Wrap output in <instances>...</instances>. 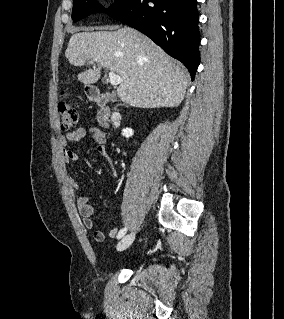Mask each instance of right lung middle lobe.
Wrapping results in <instances>:
<instances>
[{"label":"right lung middle lobe","instance_id":"1","mask_svg":"<svg viewBox=\"0 0 284 319\" xmlns=\"http://www.w3.org/2000/svg\"><path fill=\"white\" fill-rule=\"evenodd\" d=\"M131 1L132 0H116V2L106 10L98 4L96 0H73L72 19L76 22L95 12L109 13L112 9L126 5Z\"/></svg>","mask_w":284,"mask_h":319}]
</instances>
